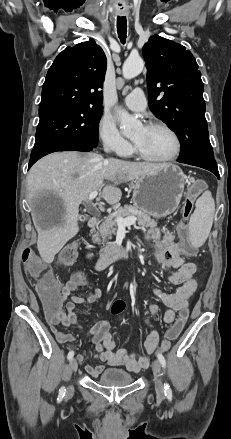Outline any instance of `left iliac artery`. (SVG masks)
I'll return each instance as SVG.
<instances>
[{"mask_svg": "<svg viewBox=\"0 0 231 439\" xmlns=\"http://www.w3.org/2000/svg\"><path fill=\"white\" fill-rule=\"evenodd\" d=\"M157 357H158L162 367L165 368L166 367V360H165L164 356L161 353H158ZM164 392H165V396H167V398H169V399L172 398V390H171L168 383L164 384Z\"/></svg>", "mask_w": 231, "mask_h": 439, "instance_id": "1", "label": "left iliac artery"}]
</instances>
